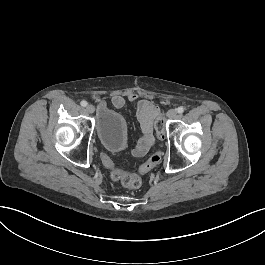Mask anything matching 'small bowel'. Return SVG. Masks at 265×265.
Wrapping results in <instances>:
<instances>
[{
  "label": "small bowel",
  "mask_w": 265,
  "mask_h": 265,
  "mask_svg": "<svg viewBox=\"0 0 265 265\" xmlns=\"http://www.w3.org/2000/svg\"><path fill=\"white\" fill-rule=\"evenodd\" d=\"M126 101L137 103V117L142 126L144 136L140 145L133 150V155L135 157H142L153 142L152 125L157 114V109L150 100L145 98L140 99L136 93L123 95L119 92H114L112 94L111 102L116 108H122L126 104ZM103 162L109 169L114 167L113 161L108 157Z\"/></svg>",
  "instance_id": "c3829d8e"
}]
</instances>
